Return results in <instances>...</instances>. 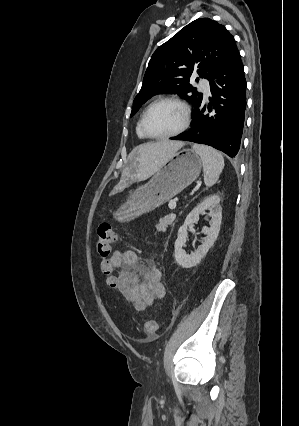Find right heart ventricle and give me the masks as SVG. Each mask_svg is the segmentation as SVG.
<instances>
[{
  "mask_svg": "<svg viewBox=\"0 0 299 426\" xmlns=\"http://www.w3.org/2000/svg\"><path fill=\"white\" fill-rule=\"evenodd\" d=\"M136 133H137V136H138L140 139H146V138H147V136H145V134L143 133V131H142V129H141V119H140V120H139V122L137 123Z\"/></svg>",
  "mask_w": 299,
  "mask_h": 426,
  "instance_id": "1",
  "label": "right heart ventricle"
}]
</instances>
